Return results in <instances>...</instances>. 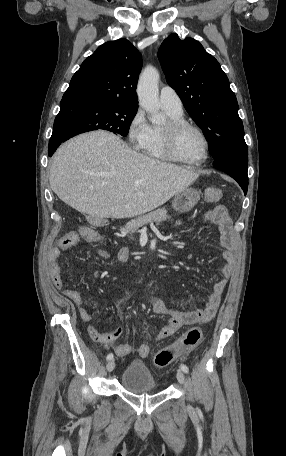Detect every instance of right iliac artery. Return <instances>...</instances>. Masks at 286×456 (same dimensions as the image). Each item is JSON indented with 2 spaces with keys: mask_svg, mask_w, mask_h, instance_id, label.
<instances>
[{
  "mask_svg": "<svg viewBox=\"0 0 286 456\" xmlns=\"http://www.w3.org/2000/svg\"><path fill=\"white\" fill-rule=\"evenodd\" d=\"M111 359H113V354H112V353H109V354L107 355V360H111Z\"/></svg>",
  "mask_w": 286,
  "mask_h": 456,
  "instance_id": "1",
  "label": "right iliac artery"
}]
</instances>
